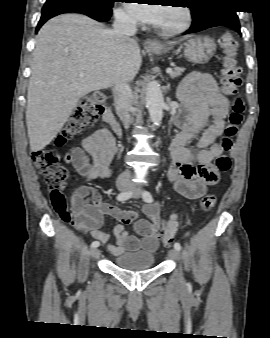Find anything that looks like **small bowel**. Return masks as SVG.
Wrapping results in <instances>:
<instances>
[{
	"mask_svg": "<svg viewBox=\"0 0 270 338\" xmlns=\"http://www.w3.org/2000/svg\"><path fill=\"white\" fill-rule=\"evenodd\" d=\"M177 98L185 109L176 119L180 132L171 145L173 163L169 180L178 194L199 200L206 195L208 186L218 181L212 161L223 152L220 137L230 111L229 101L210 75L196 71L190 72L182 81ZM193 141H197L196 151L187 147ZM116 152L114 136L107 128H101L82 140V148H72L65 160L83 177L104 179L110 175ZM68 201L71 213L68 212ZM60 204L69 215L68 221L105 245L111 254L141 249L150 253L157 249L161 226L158 204H145L142 208L145 219L138 220L134 211L102 203L100 194L90 185L76 187L69 200L63 197ZM103 213L122 222L113 230L116 244L110 243V234L102 230ZM131 223H135L138 236L126 231L124 224Z\"/></svg>",
	"mask_w": 270,
	"mask_h": 338,
	"instance_id": "obj_1",
	"label": "small bowel"
}]
</instances>
